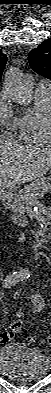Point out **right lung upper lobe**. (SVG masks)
I'll return each instance as SVG.
<instances>
[{"label":"right lung upper lobe","mask_w":51,"mask_h":393,"mask_svg":"<svg viewBox=\"0 0 51 393\" xmlns=\"http://www.w3.org/2000/svg\"><path fill=\"white\" fill-rule=\"evenodd\" d=\"M7 62V56L0 51V78Z\"/></svg>","instance_id":"obj_1"}]
</instances>
